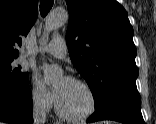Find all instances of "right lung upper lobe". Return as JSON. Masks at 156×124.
I'll list each match as a JSON object with an SVG mask.
<instances>
[{"instance_id": "obj_1", "label": "right lung upper lobe", "mask_w": 156, "mask_h": 124, "mask_svg": "<svg viewBox=\"0 0 156 124\" xmlns=\"http://www.w3.org/2000/svg\"><path fill=\"white\" fill-rule=\"evenodd\" d=\"M38 0H0V60L18 57L21 46L35 23Z\"/></svg>"}]
</instances>
